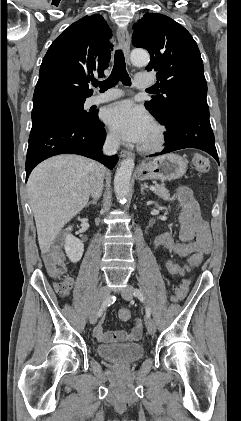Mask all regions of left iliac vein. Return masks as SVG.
<instances>
[{
  "instance_id": "left-iliac-vein-1",
  "label": "left iliac vein",
  "mask_w": 241,
  "mask_h": 421,
  "mask_svg": "<svg viewBox=\"0 0 241 421\" xmlns=\"http://www.w3.org/2000/svg\"><path fill=\"white\" fill-rule=\"evenodd\" d=\"M133 292H134V288L131 285H128L123 291H122V297L125 300H131L133 298ZM147 326V330L149 332V334L153 335L156 332V324L155 321L151 318H149L147 320L146 323Z\"/></svg>"
}]
</instances>
